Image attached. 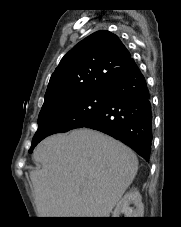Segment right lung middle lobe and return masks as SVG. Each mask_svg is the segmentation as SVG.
<instances>
[{"mask_svg":"<svg viewBox=\"0 0 181 227\" xmlns=\"http://www.w3.org/2000/svg\"><path fill=\"white\" fill-rule=\"evenodd\" d=\"M109 98V89H102L76 97L57 101L41 109L38 129L33 137L34 147L49 135L80 128L99 113Z\"/></svg>","mask_w":181,"mask_h":227,"instance_id":"dd1d6c3e","label":"right lung middle lobe"}]
</instances>
